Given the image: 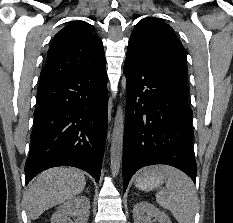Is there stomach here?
<instances>
[{
	"label": "stomach",
	"mask_w": 233,
	"mask_h": 223,
	"mask_svg": "<svg viewBox=\"0 0 233 223\" xmlns=\"http://www.w3.org/2000/svg\"><path fill=\"white\" fill-rule=\"evenodd\" d=\"M166 169L163 165H153V167H146L135 181L136 187L142 191H152L162 185L166 179Z\"/></svg>",
	"instance_id": "stomach-1"
}]
</instances>
